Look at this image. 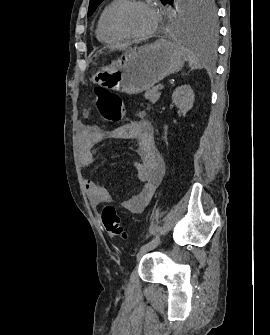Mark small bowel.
Returning <instances> with one entry per match:
<instances>
[{"label": "small bowel", "instance_id": "small-bowel-1", "mask_svg": "<svg viewBox=\"0 0 270 335\" xmlns=\"http://www.w3.org/2000/svg\"><path fill=\"white\" fill-rule=\"evenodd\" d=\"M84 115L87 116L88 112L85 111ZM100 136L98 127L87 124L80 126V160L84 165H90L94 162L92 150L98 143ZM118 137L136 141L139 160L134 163V169L139 180L143 182L139 192L121 199L119 205L130 213H140L148 206L162 180L164 164L155 149L153 128L149 121L140 119L122 125L118 128ZM84 186L93 206L112 202L109 191L92 179L86 178Z\"/></svg>", "mask_w": 270, "mask_h": 335}]
</instances>
